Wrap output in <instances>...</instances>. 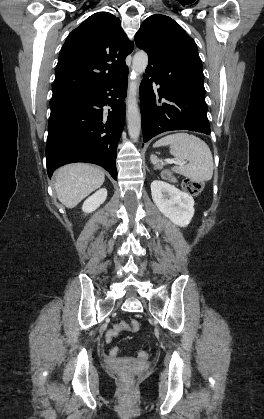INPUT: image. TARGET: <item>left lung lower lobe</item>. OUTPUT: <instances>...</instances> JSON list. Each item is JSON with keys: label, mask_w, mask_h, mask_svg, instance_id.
<instances>
[{"label": "left lung lower lobe", "mask_w": 264, "mask_h": 419, "mask_svg": "<svg viewBox=\"0 0 264 419\" xmlns=\"http://www.w3.org/2000/svg\"><path fill=\"white\" fill-rule=\"evenodd\" d=\"M152 81L159 86L157 90L153 89ZM140 97L143 142L172 130L210 134L203 84L188 88L182 81H166L156 72L146 70Z\"/></svg>", "instance_id": "obj_1"}]
</instances>
